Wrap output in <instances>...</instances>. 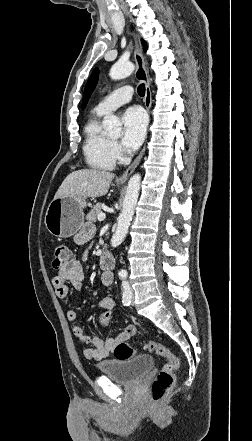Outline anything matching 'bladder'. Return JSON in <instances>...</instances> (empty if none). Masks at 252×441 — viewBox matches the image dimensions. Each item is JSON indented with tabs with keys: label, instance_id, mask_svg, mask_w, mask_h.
<instances>
[{
	"label": "bladder",
	"instance_id": "1",
	"mask_svg": "<svg viewBox=\"0 0 252 441\" xmlns=\"http://www.w3.org/2000/svg\"><path fill=\"white\" fill-rule=\"evenodd\" d=\"M150 355H137L126 359H110L97 364L98 370L115 382L132 384L142 379L153 367Z\"/></svg>",
	"mask_w": 252,
	"mask_h": 441
}]
</instances>
